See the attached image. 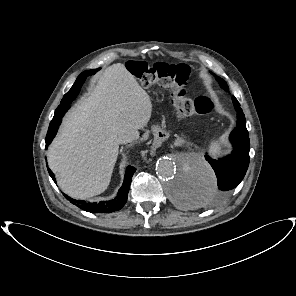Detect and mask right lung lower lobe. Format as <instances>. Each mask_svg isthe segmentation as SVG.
Masks as SVG:
<instances>
[{
  "instance_id": "1",
  "label": "right lung lower lobe",
  "mask_w": 296,
  "mask_h": 296,
  "mask_svg": "<svg viewBox=\"0 0 296 296\" xmlns=\"http://www.w3.org/2000/svg\"><path fill=\"white\" fill-rule=\"evenodd\" d=\"M95 70L84 71L76 79L72 88L67 92L61 104L58 106L54 113V117L49 125V129L46 135V148L51 143L52 139L56 135L57 129L61 123L64 113L69 109L70 103L76 98L77 94L80 91V88L88 75L94 74ZM48 168V166H47ZM49 174L52 179L55 181L54 174L48 168ZM136 169L132 166H128L125 171L124 183L118 191L117 196L110 201H100L98 203H88L82 200L72 199L65 194H63L66 199H68L72 204L78 206L80 209L91 212V213H111L120 210L127 201L128 192L130 189V184L132 176Z\"/></svg>"
}]
</instances>
